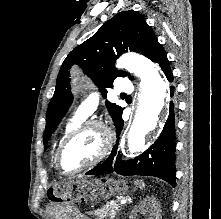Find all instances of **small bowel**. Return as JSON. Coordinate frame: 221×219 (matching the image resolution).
Instances as JSON below:
<instances>
[{"instance_id":"1","label":"small bowel","mask_w":221,"mask_h":219,"mask_svg":"<svg viewBox=\"0 0 221 219\" xmlns=\"http://www.w3.org/2000/svg\"><path fill=\"white\" fill-rule=\"evenodd\" d=\"M61 217L62 219H91L81 214L77 209L62 210Z\"/></svg>"}]
</instances>
